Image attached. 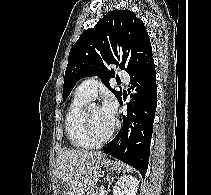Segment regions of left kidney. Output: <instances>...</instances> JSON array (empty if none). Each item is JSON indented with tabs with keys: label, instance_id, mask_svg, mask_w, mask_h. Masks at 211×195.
Returning <instances> with one entry per match:
<instances>
[{
	"label": "left kidney",
	"instance_id": "5707ae66",
	"mask_svg": "<svg viewBox=\"0 0 211 195\" xmlns=\"http://www.w3.org/2000/svg\"><path fill=\"white\" fill-rule=\"evenodd\" d=\"M139 187L137 178L131 175L121 176L113 187V195H136Z\"/></svg>",
	"mask_w": 211,
	"mask_h": 195
}]
</instances>
